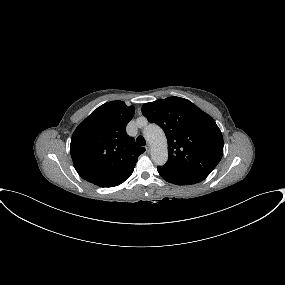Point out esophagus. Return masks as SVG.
I'll return each instance as SVG.
<instances>
[{
    "instance_id": "34e87169",
    "label": "esophagus",
    "mask_w": 285,
    "mask_h": 285,
    "mask_svg": "<svg viewBox=\"0 0 285 285\" xmlns=\"http://www.w3.org/2000/svg\"><path fill=\"white\" fill-rule=\"evenodd\" d=\"M145 149H146V152L149 153L151 150L150 145H146Z\"/></svg>"
}]
</instances>
